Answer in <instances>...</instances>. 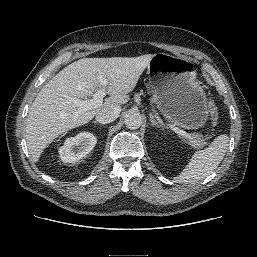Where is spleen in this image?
Returning a JSON list of instances; mask_svg holds the SVG:
<instances>
[{
  "label": "spleen",
  "instance_id": "obj_1",
  "mask_svg": "<svg viewBox=\"0 0 257 257\" xmlns=\"http://www.w3.org/2000/svg\"><path fill=\"white\" fill-rule=\"evenodd\" d=\"M229 145L226 134L216 137L204 150L195 152L180 175L174 178L176 183H191L208 176L223 160Z\"/></svg>",
  "mask_w": 257,
  "mask_h": 257
}]
</instances>
